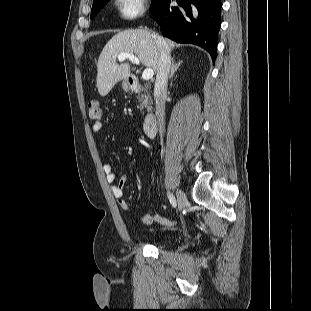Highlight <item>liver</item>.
I'll list each match as a JSON object with an SVG mask.
<instances>
[{"label":"liver","instance_id":"obj_1","mask_svg":"<svg viewBox=\"0 0 311 311\" xmlns=\"http://www.w3.org/2000/svg\"><path fill=\"white\" fill-rule=\"evenodd\" d=\"M164 39V38H163ZM169 50L176 43L164 39ZM132 53L146 66L157 72L159 52L154 34L144 29L125 30L114 35L103 48L97 63V88L101 96H106L120 80L131 75L129 63L117 64L120 53Z\"/></svg>","mask_w":311,"mask_h":311}]
</instances>
